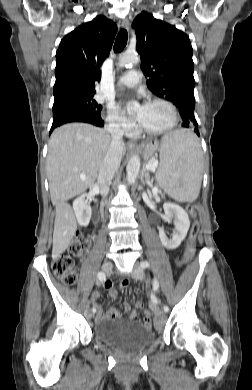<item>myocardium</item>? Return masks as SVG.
Returning <instances> with one entry per match:
<instances>
[{
	"label": "myocardium",
	"mask_w": 252,
	"mask_h": 390,
	"mask_svg": "<svg viewBox=\"0 0 252 390\" xmlns=\"http://www.w3.org/2000/svg\"><path fill=\"white\" fill-rule=\"evenodd\" d=\"M154 103L165 104L170 109V111L172 113V122L170 123L169 126H167L164 129H160V130H147V129H144L138 123L137 130H138V132H140L144 135H148V136L165 135V134L171 132L172 130H174L179 123V113H178L177 107L171 101L164 99V98H160V97L151 98V99L147 100L145 104H154Z\"/></svg>",
	"instance_id": "obj_1"
}]
</instances>
